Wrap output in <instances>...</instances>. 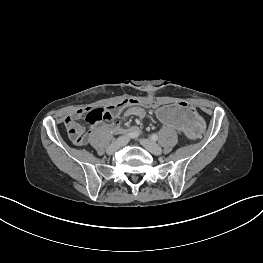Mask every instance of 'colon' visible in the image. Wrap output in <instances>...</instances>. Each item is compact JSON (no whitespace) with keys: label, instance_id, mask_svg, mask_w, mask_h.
<instances>
[{"label":"colon","instance_id":"obj_1","mask_svg":"<svg viewBox=\"0 0 263 263\" xmlns=\"http://www.w3.org/2000/svg\"><path fill=\"white\" fill-rule=\"evenodd\" d=\"M128 104L140 105L143 104V102L136 99H128L120 103L110 105L104 109L92 108L86 112L85 120L91 126L101 121L110 120L113 118L114 114L117 112L119 108L126 106ZM144 104H148V103H144ZM65 127L69 138L75 144L81 145L87 141V133L85 131V128L79 122H77V120L74 117L69 116L66 118Z\"/></svg>","mask_w":263,"mask_h":263}]
</instances>
